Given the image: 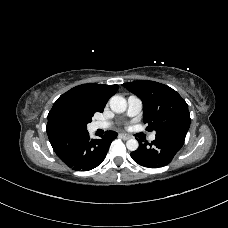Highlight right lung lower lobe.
I'll return each mask as SVG.
<instances>
[{
    "label": "right lung lower lobe",
    "mask_w": 228,
    "mask_h": 228,
    "mask_svg": "<svg viewBox=\"0 0 228 228\" xmlns=\"http://www.w3.org/2000/svg\"><path fill=\"white\" fill-rule=\"evenodd\" d=\"M117 135L107 131L101 139H91L87 130L59 128L48 132L56 155L76 171H88L100 165Z\"/></svg>",
    "instance_id": "1"
}]
</instances>
